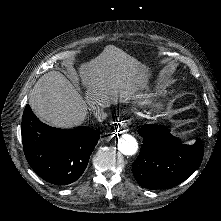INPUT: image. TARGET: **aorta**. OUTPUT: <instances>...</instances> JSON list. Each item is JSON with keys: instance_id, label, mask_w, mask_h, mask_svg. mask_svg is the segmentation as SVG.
<instances>
[{"instance_id": "762f6f07", "label": "aorta", "mask_w": 221, "mask_h": 221, "mask_svg": "<svg viewBox=\"0 0 221 221\" xmlns=\"http://www.w3.org/2000/svg\"><path fill=\"white\" fill-rule=\"evenodd\" d=\"M118 150L124 155H134L138 150L137 140L129 134L121 135L118 138Z\"/></svg>"}]
</instances>
